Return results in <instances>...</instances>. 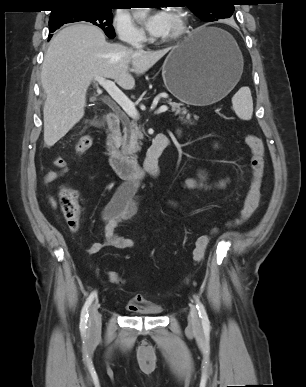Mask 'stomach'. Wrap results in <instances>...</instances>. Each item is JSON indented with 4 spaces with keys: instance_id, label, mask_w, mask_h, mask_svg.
<instances>
[{
    "instance_id": "stomach-1",
    "label": "stomach",
    "mask_w": 306,
    "mask_h": 387,
    "mask_svg": "<svg viewBox=\"0 0 306 387\" xmlns=\"http://www.w3.org/2000/svg\"><path fill=\"white\" fill-rule=\"evenodd\" d=\"M242 71L243 56L233 37L222 29L203 26L171 50L162 77L180 101L206 106L224 98Z\"/></svg>"
}]
</instances>
